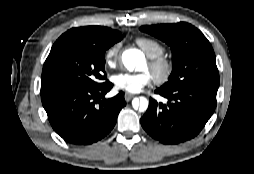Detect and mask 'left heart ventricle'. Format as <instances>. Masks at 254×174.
<instances>
[{
    "instance_id": "obj_1",
    "label": "left heart ventricle",
    "mask_w": 254,
    "mask_h": 174,
    "mask_svg": "<svg viewBox=\"0 0 254 174\" xmlns=\"http://www.w3.org/2000/svg\"><path fill=\"white\" fill-rule=\"evenodd\" d=\"M145 70H149L148 64L145 65L144 67ZM150 71V70H149ZM152 74V73H151Z\"/></svg>"
}]
</instances>
